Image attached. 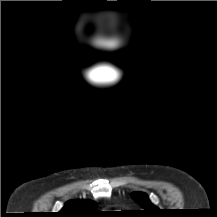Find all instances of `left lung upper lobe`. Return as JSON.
Returning <instances> with one entry per match:
<instances>
[{
    "instance_id": "5c2ea615",
    "label": "left lung upper lobe",
    "mask_w": 217,
    "mask_h": 217,
    "mask_svg": "<svg viewBox=\"0 0 217 217\" xmlns=\"http://www.w3.org/2000/svg\"><path fill=\"white\" fill-rule=\"evenodd\" d=\"M132 198L142 207L144 208V212L146 213H155L159 210L156 206H154L150 201L148 196L142 192H134L132 193Z\"/></svg>"
}]
</instances>
